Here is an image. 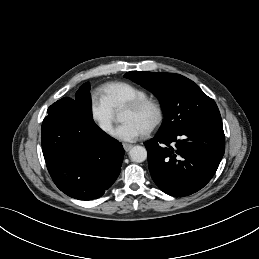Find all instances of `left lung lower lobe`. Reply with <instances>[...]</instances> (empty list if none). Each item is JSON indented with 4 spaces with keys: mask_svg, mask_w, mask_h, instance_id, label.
<instances>
[{
    "mask_svg": "<svg viewBox=\"0 0 259 259\" xmlns=\"http://www.w3.org/2000/svg\"><path fill=\"white\" fill-rule=\"evenodd\" d=\"M144 144L156 185L168 195L183 197L214 176L224 155L225 136L222 121H215L173 134L157 133Z\"/></svg>",
    "mask_w": 259,
    "mask_h": 259,
    "instance_id": "obj_1",
    "label": "left lung lower lobe"
}]
</instances>
